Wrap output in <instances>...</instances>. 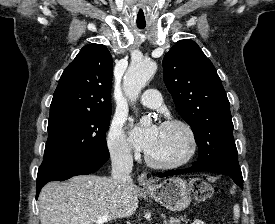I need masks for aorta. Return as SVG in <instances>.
<instances>
[{"label":"aorta","instance_id":"1","mask_svg":"<svg viewBox=\"0 0 275 224\" xmlns=\"http://www.w3.org/2000/svg\"><path fill=\"white\" fill-rule=\"evenodd\" d=\"M157 65L152 60H139L132 62L127 69L124 80L123 89L125 94L131 101H135L146 83L156 72ZM150 117H144L141 121L144 125L149 124Z\"/></svg>","mask_w":275,"mask_h":224}]
</instances>
